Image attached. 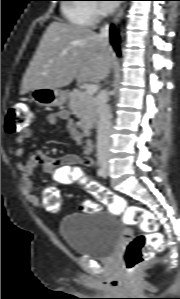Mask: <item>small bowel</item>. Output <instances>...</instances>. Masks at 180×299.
Here are the masks:
<instances>
[{
  "mask_svg": "<svg viewBox=\"0 0 180 299\" xmlns=\"http://www.w3.org/2000/svg\"><path fill=\"white\" fill-rule=\"evenodd\" d=\"M46 120L50 125H55L59 120H65L66 128L71 139L82 149L84 157L79 158L74 155H69L56 158L47 156L41 151H35L29 156L26 162L19 161L17 163V169L21 173L22 189L26 194L28 201L35 207L40 206V200L32 193L33 183L31 175L34 168L40 167L45 172L55 173L58 182L69 183L82 166L88 167L92 164V160L88 156L92 150V144L90 141L83 140L82 134L77 130L74 121L70 118L69 113L66 110L50 112L47 114ZM31 137L32 130L26 128L15 138L17 147L14 150V154L17 157H21L24 154V143Z\"/></svg>",
  "mask_w": 180,
  "mask_h": 299,
  "instance_id": "c3829d8e",
  "label": "small bowel"
}]
</instances>
